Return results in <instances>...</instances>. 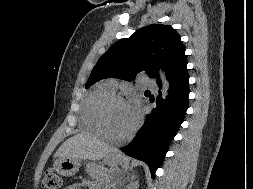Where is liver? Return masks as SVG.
Wrapping results in <instances>:
<instances>
[{
	"label": "liver",
	"instance_id": "6515ba94",
	"mask_svg": "<svg viewBox=\"0 0 253 189\" xmlns=\"http://www.w3.org/2000/svg\"><path fill=\"white\" fill-rule=\"evenodd\" d=\"M112 152H115L114 149L97 137L81 132L67 139L57 150L54 157L98 161Z\"/></svg>",
	"mask_w": 253,
	"mask_h": 189
}]
</instances>
